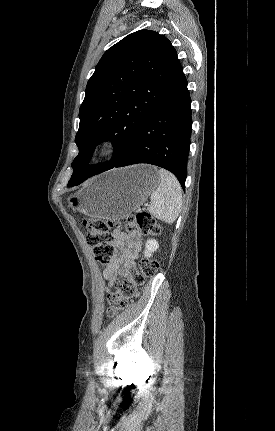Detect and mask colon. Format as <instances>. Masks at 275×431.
Masks as SVG:
<instances>
[{"label": "colon", "mask_w": 275, "mask_h": 431, "mask_svg": "<svg viewBox=\"0 0 275 431\" xmlns=\"http://www.w3.org/2000/svg\"><path fill=\"white\" fill-rule=\"evenodd\" d=\"M83 223L88 229L87 243L90 245L95 259L102 266H108L114 257L110 229L118 224L93 217L86 218ZM126 226L129 230L138 228L145 234L159 232L154 218L147 212H138L129 216L126 219ZM158 269L157 260L145 259L139 262L136 269L130 270L127 275L118 279L115 283V291L107 295V316L112 318L118 315L134 296L136 286L142 284L146 278L154 276Z\"/></svg>", "instance_id": "5ec220e1"}]
</instances>
